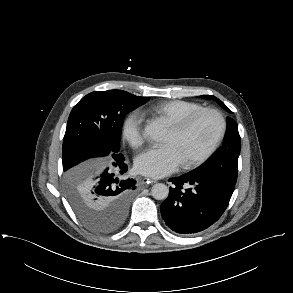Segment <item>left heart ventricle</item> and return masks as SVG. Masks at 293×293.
<instances>
[{
  "instance_id": "left-heart-ventricle-1",
  "label": "left heart ventricle",
  "mask_w": 293,
  "mask_h": 293,
  "mask_svg": "<svg viewBox=\"0 0 293 293\" xmlns=\"http://www.w3.org/2000/svg\"><path fill=\"white\" fill-rule=\"evenodd\" d=\"M218 130V118L211 113H205L196 118L182 133H176L170 128L164 143L174 145L185 162L205 152Z\"/></svg>"
}]
</instances>
